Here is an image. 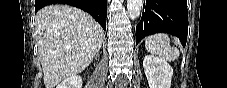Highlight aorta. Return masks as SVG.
Here are the masks:
<instances>
[{"label": "aorta", "instance_id": "aorta-1", "mask_svg": "<svg viewBox=\"0 0 227 88\" xmlns=\"http://www.w3.org/2000/svg\"><path fill=\"white\" fill-rule=\"evenodd\" d=\"M142 0H127V10L130 19L134 20L140 16Z\"/></svg>", "mask_w": 227, "mask_h": 88}]
</instances>
